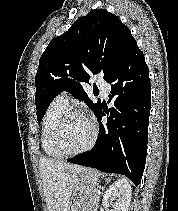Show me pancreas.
<instances>
[{
	"label": "pancreas",
	"instance_id": "1",
	"mask_svg": "<svg viewBox=\"0 0 178 211\" xmlns=\"http://www.w3.org/2000/svg\"><path fill=\"white\" fill-rule=\"evenodd\" d=\"M100 200V195L97 194V190H93L89 193L85 202L82 205L81 211H96Z\"/></svg>",
	"mask_w": 178,
	"mask_h": 211
}]
</instances>
